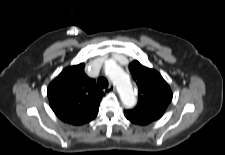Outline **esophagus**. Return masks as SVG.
Segmentation results:
<instances>
[{
  "mask_svg": "<svg viewBox=\"0 0 225 155\" xmlns=\"http://www.w3.org/2000/svg\"><path fill=\"white\" fill-rule=\"evenodd\" d=\"M106 92H114L115 91V86L113 84H110L107 89H105Z\"/></svg>",
  "mask_w": 225,
  "mask_h": 155,
  "instance_id": "obj_1",
  "label": "esophagus"
}]
</instances>
